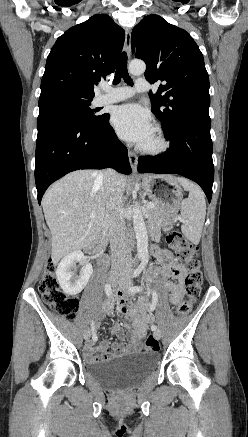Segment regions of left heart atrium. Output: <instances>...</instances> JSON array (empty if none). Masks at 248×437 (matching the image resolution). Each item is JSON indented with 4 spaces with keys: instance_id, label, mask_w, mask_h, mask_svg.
<instances>
[{
    "instance_id": "obj_1",
    "label": "left heart atrium",
    "mask_w": 248,
    "mask_h": 437,
    "mask_svg": "<svg viewBox=\"0 0 248 437\" xmlns=\"http://www.w3.org/2000/svg\"><path fill=\"white\" fill-rule=\"evenodd\" d=\"M111 122L119 136L131 142L142 144L153 133L150 115L138 104L117 107Z\"/></svg>"
}]
</instances>
